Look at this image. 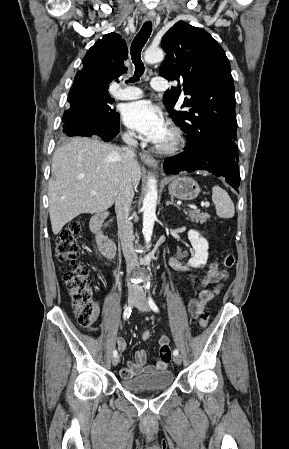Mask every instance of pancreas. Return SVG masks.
Masks as SVG:
<instances>
[{"instance_id": "cf45deb5", "label": "pancreas", "mask_w": 289, "mask_h": 449, "mask_svg": "<svg viewBox=\"0 0 289 449\" xmlns=\"http://www.w3.org/2000/svg\"><path fill=\"white\" fill-rule=\"evenodd\" d=\"M189 216L191 218L192 221L195 222H200V223H204L207 221V219L209 218L208 214L205 213H200L198 211H192L189 213Z\"/></svg>"}]
</instances>
